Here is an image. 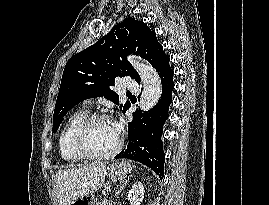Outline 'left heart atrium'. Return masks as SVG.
I'll return each instance as SVG.
<instances>
[{
  "mask_svg": "<svg viewBox=\"0 0 269 205\" xmlns=\"http://www.w3.org/2000/svg\"><path fill=\"white\" fill-rule=\"evenodd\" d=\"M109 121H110V123L112 124V126L114 127V129L119 133V131H120V126H119V124H118L116 118L113 117V118L109 119Z\"/></svg>",
  "mask_w": 269,
  "mask_h": 205,
  "instance_id": "39dd6f15",
  "label": "left heart atrium"
}]
</instances>
